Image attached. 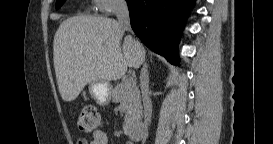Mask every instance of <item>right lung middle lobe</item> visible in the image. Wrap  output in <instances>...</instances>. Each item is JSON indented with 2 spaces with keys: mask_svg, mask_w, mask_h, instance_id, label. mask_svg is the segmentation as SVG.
I'll use <instances>...</instances> for the list:
<instances>
[{
  "mask_svg": "<svg viewBox=\"0 0 273 144\" xmlns=\"http://www.w3.org/2000/svg\"><path fill=\"white\" fill-rule=\"evenodd\" d=\"M65 0H57L56 8H60Z\"/></svg>",
  "mask_w": 273,
  "mask_h": 144,
  "instance_id": "right-lung-middle-lobe-1",
  "label": "right lung middle lobe"
}]
</instances>
